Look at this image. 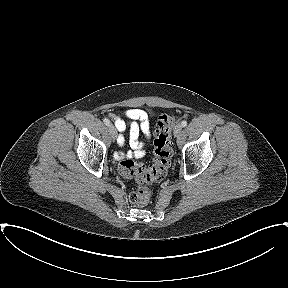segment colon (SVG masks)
<instances>
[{"instance_id":"5ec220e1","label":"colon","mask_w":288,"mask_h":288,"mask_svg":"<svg viewBox=\"0 0 288 288\" xmlns=\"http://www.w3.org/2000/svg\"><path fill=\"white\" fill-rule=\"evenodd\" d=\"M176 121L178 118L169 114L159 117L155 130L154 158L150 164L138 163L132 158H124L120 162V174L139 184L129 195L132 204L145 205L150 199V191L146 185L159 182L166 176L172 156L171 131Z\"/></svg>"}]
</instances>
